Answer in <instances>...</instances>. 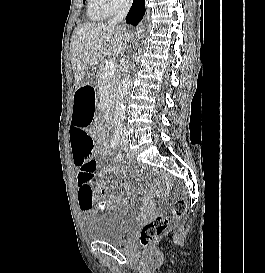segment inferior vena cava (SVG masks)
<instances>
[{
    "label": "inferior vena cava",
    "instance_id": "obj_1",
    "mask_svg": "<svg viewBox=\"0 0 265 273\" xmlns=\"http://www.w3.org/2000/svg\"><path fill=\"white\" fill-rule=\"evenodd\" d=\"M132 5V0H122L117 15L109 21L111 24H117L125 19L130 7Z\"/></svg>",
    "mask_w": 265,
    "mask_h": 273
}]
</instances>
